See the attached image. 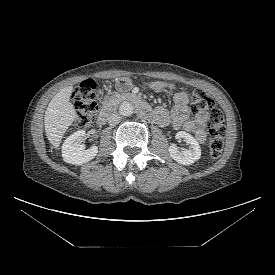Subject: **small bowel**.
<instances>
[{"instance_id": "1", "label": "small bowel", "mask_w": 275, "mask_h": 275, "mask_svg": "<svg viewBox=\"0 0 275 275\" xmlns=\"http://www.w3.org/2000/svg\"><path fill=\"white\" fill-rule=\"evenodd\" d=\"M132 86L129 78L123 77L116 82V88L124 91ZM148 87L155 91L166 89H175V85L162 81H153L148 83ZM188 96L184 91H178L174 95V106L168 111L164 107H156L153 113L154 119L158 125L162 127L171 126L174 129L182 128L187 132H192L199 142H203L206 138L205 124L209 117L205 111H200L193 118H190L188 108Z\"/></svg>"}]
</instances>
